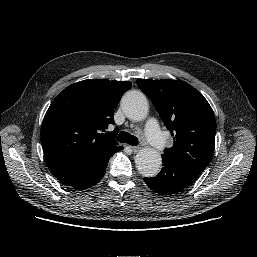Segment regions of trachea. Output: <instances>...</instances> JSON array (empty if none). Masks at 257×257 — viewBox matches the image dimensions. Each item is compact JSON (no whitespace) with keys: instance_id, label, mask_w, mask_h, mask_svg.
Returning a JSON list of instances; mask_svg holds the SVG:
<instances>
[{"instance_id":"obj_1","label":"trachea","mask_w":257,"mask_h":257,"mask_svg":"<svg viewBox=\"0 0 257 257\" xmlns=\"http://www.w3.org/2000/svg\"><path fill=\"white\" fill-rule=\"evenodd\" d=\"M117 141L121 143H128L132 146H137L139 143L137 137L125 131L119 133V135L117 136Z\"/></svg>"}]
</instances>
